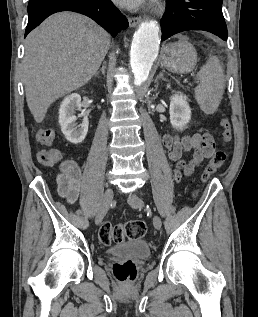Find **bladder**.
<instances>
[{"instance_id": "obj_1", "label": "bladder", "mask_w": 258, "mask_h": 317, "mask_svg": "<svg viewBox=\"0 0 258 317\" xmlns=\"http://www.w3.org/2000/svg\"><path fill=\"white\" fill-rule=\"evenodd\" d=\"M106 253L118 258L144 260L150 256V247L144 240H133L110 247Z\"/></svg>"}]
</instances>
